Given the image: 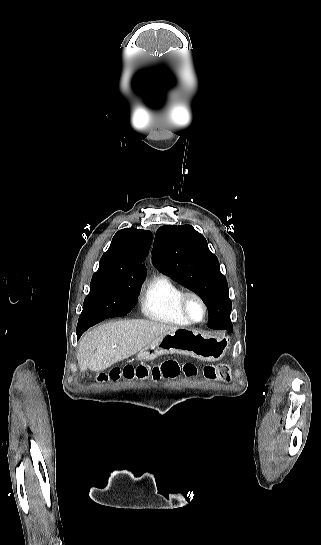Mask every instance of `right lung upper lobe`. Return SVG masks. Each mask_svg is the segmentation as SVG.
Wrapping results in <instances>:
<instances>
[{
    "instance_id": "right-lung-upper-lobe-1",
    "label": "right lung upper lobe",
    "mask_w": 321,
    "mask_h": 545,
    "mask_svg": "<svg viewBox=\"0 0 321 545\" xmlns=\"http://www.w3.org/2000/svg\"><path fill=\"white\" fill-rule=\"evenodd\" d=\"M151 243L150 231L136 228L119 230L103 254L95 274H106L116 282L143 283L145 266L142 262Z\"/></svg>"
}]
</instances>
